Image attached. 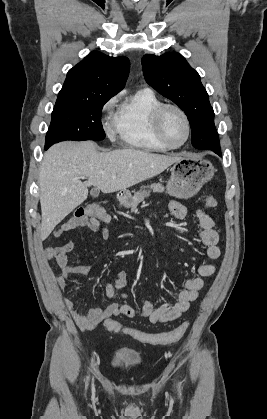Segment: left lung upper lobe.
<instances>
[{"label":"left lung upper lobe","mask_w":267,"mask_h":419,"mask_svg":"<svg viewBox=\"0 0 267 419\" xmlns=\"http://www.w3.org/2000/svg\"><path fill=\"white\" fill-rule=\"evenodd\" d=\"M142 69L146 82L172 100L188 117L192 145L197 149H220L214 111L199 74L179 53L145 55ZM208 146H211L208 148Z\"/></svg>","instance_id":"obj_1"}]
</instances>
